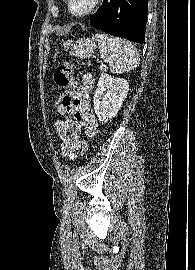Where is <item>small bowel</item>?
<instances>
[{"instance_id": "c3829d8e", "label": "small bowel", "mask_w": 195, "mask_h": 270, "mask_svg": "<svg viewBox=\"0 0 195 270\" xmlns=\"http://www.w3.org/2000/svg\"><path fill=\"white\" fill-rule=\"evenodd\" d=\"M93 85L94 77L91 74L83 75L73 104L69 108L56 110L60 115H73V119H59L54 123L55 131L61 139V154L70 160L75 159L80 149L82 130L90 137L97 133L98 121L90 105Z\"/></svg>"}]
</instances>
